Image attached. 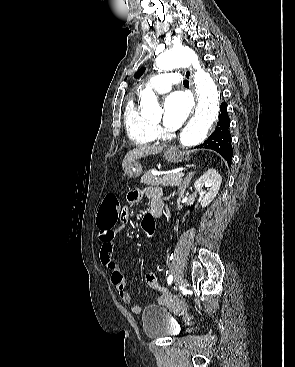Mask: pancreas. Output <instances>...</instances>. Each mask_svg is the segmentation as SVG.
<instances>
[{
  "mask_svg": "<svg viewBox=\"0 0 295 367\" xmlns=\"http://www.w3.org/2000/svg\"><path fill=\"white\" fill-rule=\"evenodd\" d=\"M183 182L182 177L177 174H168L163 176H157L150 173H146L141 177V183L151 186H173L180 185Z\"/></svg>",
  "mask_w": 295,
  "mask_h": 367,
  "instance_id": "cf45deb5",
  "label": "pancreas"
}]
</instances>
